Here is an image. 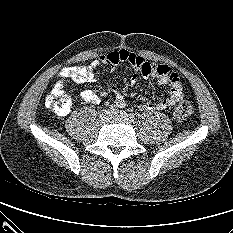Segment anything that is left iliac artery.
<instances>
[{
  "label": "left iliac artery",
  "mask_w": 233,
  "mask_h": 233,
  "mask_svg": "<svg viewBox=\"0 0 233 233\" xmlns=\"http://www.w3.org/2000/svg\"><path fill=\"white\" fill-rule=\"evenodd\" d=\"M128 117H129V119H130L131 121H133V120L135 119V116H134L133 113H130V114L128 115Z\"/></svg>",
  "instance_id": "44dca946"
}]
</instances>
